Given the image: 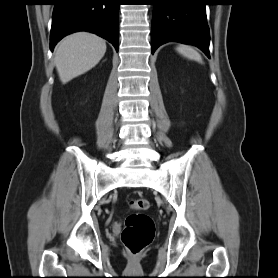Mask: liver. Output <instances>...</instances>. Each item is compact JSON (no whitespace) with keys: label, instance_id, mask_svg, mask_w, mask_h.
<instances>
[{"label":"liver","instance_id":"liver-1","mask_svg":"<svg viewBox=\"0 0 278 278\" xmlns=\"http://www.w3.org/2000/svg\"><path fill=\"white\" fill-rule=\"evenodd\" d=\"M106 52L105 40L78 32L59 42L55 52V66L63 84L95 67Z\"/></svg>","mask_w":278,"mask_h":278}]
</instances>
